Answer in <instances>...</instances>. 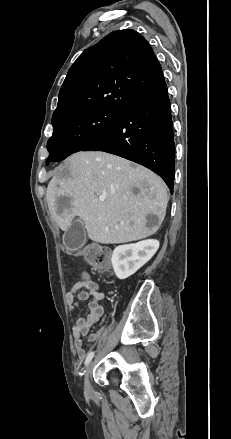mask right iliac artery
Listing matches in <instances>:
<instances>
[{
	"mask_svg": "<svg viewBox=\"0 0 231 439\" xmlns=\"http://www.w3.org/2000/svg\"><path fill=\"white\" fill-rule=\"evenodd\" d=\"M93 357H94V352L92 351V352H90V353L87 355V357H86V360H85V366H88V364L91 362V360H92Z\"/></svg>",
	"mask_w": 231,
	"mask_h": 439,
	"instance_id": "right-iliac-artery-1",
	"label": "right iliac artery"
}]
</instances>
